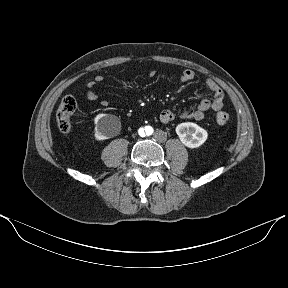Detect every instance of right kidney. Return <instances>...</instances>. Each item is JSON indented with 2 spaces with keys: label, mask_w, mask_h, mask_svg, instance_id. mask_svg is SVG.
Masks as SVG:
<instances>
[{
  "label": "right kidney",
  "mask_w": 288,
  "mask_h": 288,
  "mask_svg": "<svg viewBox=\"0 0 288 288\" xmlns=\"http://www.w3.org/2000/svg\"><path fill=\"white\" fill-rule=\"evenodd\" d=\"M116 117L109 114H98L95 117V138L106 140L114 135L113 123Z\"/></svg>",
  "instance_id": "right-kidney-1"
}]
</instances>
